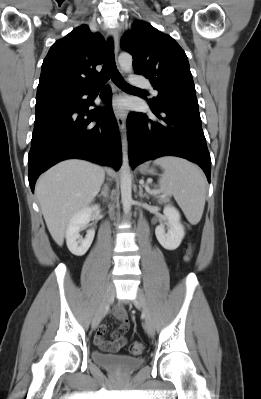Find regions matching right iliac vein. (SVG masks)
Listing matches in <instances>:
<instances>
[{
	"label": "right iliac vein",
	"mask_w": 261,
	"mask_h": 399,
	"mask_svg": "<svg viewBox=\"0 0 261 399\" xmlns=\"http://www.w3.org/2000/svg\"><path fill=\"white\" fill-rule=\"evenodd\" d=\"M115 295V286L113 283H109L106 289V292L103 296V299L94 315V318L92 320V328L95 329L101 322L107 306L112 302L113 298Z\"/></svg>",
	"instance_id": "63e3f726"
}]
</instances>
